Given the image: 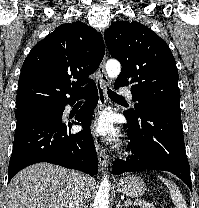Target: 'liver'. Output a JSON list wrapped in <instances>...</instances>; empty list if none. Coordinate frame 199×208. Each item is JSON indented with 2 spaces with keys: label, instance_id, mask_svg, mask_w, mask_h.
<instances>
[{
  "label": "liver",
  "instance_id": "6515ba94",
  "mask_svg": "<svg viewBox=\"0 0 199 208\" xmlns=\"http://www.w3.org/2000/svg\"><path fill=\"white\" fill-rule=\"evenodd\" d=\"M76 173L50 163L26 167L10 182L7 208H68ZM93 190V178L84 176L86 201Z\"/></svg>",
  "mask_w": 199,
  "mask_h": 208
}]
</instances>
